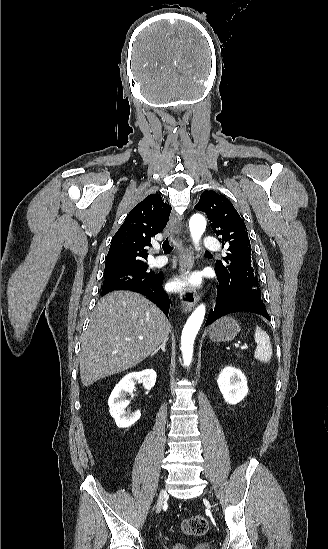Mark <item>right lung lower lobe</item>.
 <instances>
[{
    "label": "right lung lower lobe",
    "mask_w": 328,
    "mask_h": 549,
    "mask_svg": "<svg viewBox=\"0 0 328 549\" xmlns=\"http://www.w3.org/2000/svg\"><path fill=\"white\" fill-rule=\"evenodd\" d=\"M163 274H159L158 277L146 287H132L127 290L141 293L147 296L151 301L156 303L158 307L165 313L168 317V312L170 308L169 297L162 287Z\"/></svg>",
    "instance_id": "right-lung-lower-lobe-1"
}]
</instances>
